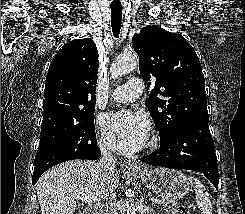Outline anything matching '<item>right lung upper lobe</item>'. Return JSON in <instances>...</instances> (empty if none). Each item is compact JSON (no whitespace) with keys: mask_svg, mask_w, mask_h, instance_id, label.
<instances>
[{"mask_svg":"<svg viewBox=\"0 0 245 214\" xmlns=\"http://www.w3.org/2000/svg\"><path fill=\"white\" fill-rule=\"evenodd\" d=\"M98 66V51L90 38L71 41L59 50L46 77L41 132L95 110Z\"/></svg>","mask_w":245,"mask_h":214,"instance_id":"cb5924a9","label":"right lung upper lobe"}]
</instances>
